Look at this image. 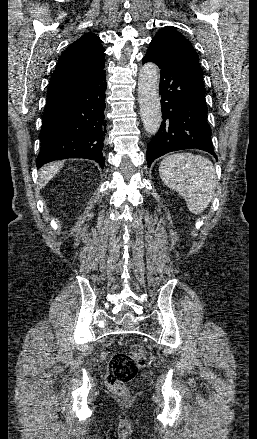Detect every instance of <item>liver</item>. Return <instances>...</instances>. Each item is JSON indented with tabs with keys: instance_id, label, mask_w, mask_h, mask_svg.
<instances>
[{
	"instance_id": "1",
	"label": "liver",
	"mask_w": 257,
	"mask_h": 439,
	"mask_svg": "<svg viewBox=\"0 0 257 439\" xmlns=\"http://www.w3.org/2000/svg\"><path fill=\"white\" fill-rule=\"evenodd\" d=\"M62 162L51 163L45 165L40 172L39 175V186L40 188L44 187L51 178L57 174V172L62 168Z\"/></svg>"
}]
</instances>
